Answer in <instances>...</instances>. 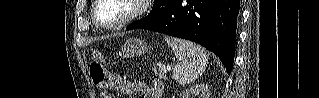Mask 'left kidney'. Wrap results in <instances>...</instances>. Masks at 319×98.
I'll list each match as a JSON object with an SVG mask.
<instances>
[{
    "instance_id": "5707ae66",
    "label": "left kidney",
    "mask_w": 319,
    "mask_h": 98,
    "mask_svg": "<svg viewBox=\"0 0 319 98\" xmlns=\"http://www.w3.org/2000/svg\"><path fill=\"white\" fill-rule=\"evenodd\" d=\"M182 98H210V88L205 84H196L187 88Z\"/></svg>"
}]
</instances>
